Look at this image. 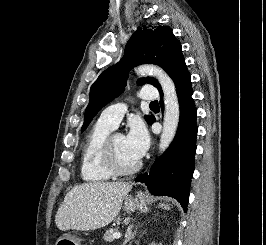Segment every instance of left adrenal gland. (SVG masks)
<instances>
[{
    "label": "left adrenal gland",
    "mask_w": 266,
    "mask_h": 245,
    "mask_svg": "<svg viewBox=\"0 0 266 245\" xmlns=\"http://www.w3.org/2000/svg\"><path fill=\"white\" fill-rule=\"evenodd\" d=\"M136 235V231H134V233H132V225H130V227H128L127 229V233L125 235L126 239L123 243V245H126V243H129L130 239H134Z\"/></svg>",
    "instance_id": "obj_1"
}]
</instances>
